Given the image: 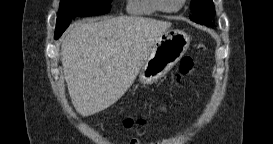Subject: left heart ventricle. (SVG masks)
I'll return each mask as SVG.
<instances>
[{
  "label": "left heart ventricle",
  "mask_w": 273,
  "mask_h": 144,
  "mask_svg": "<svg viewBox=\"0 0 273 144\" xmlns=\"http://www.w3.org/2000/svg\"><path fill=\"white\" fill-rule=\"evenodd\" d=\"M180 0H165L164 5L171 9L176 7L179 4Z\"/></svg>",
  "instance_id": "left-heart-ventricle-1"
}]
</instances>
